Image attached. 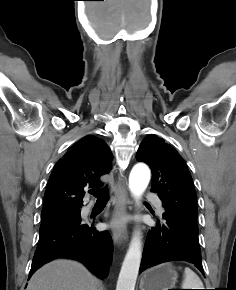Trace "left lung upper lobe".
<instances>
[{"mask_svg": "<svg viewBox=\"0 0 236 290\" xmlns=\"http://www.w3.org/2000/svg\"><path fill=\"white\" fill-rule=\"evenodd\" d=\"M136 159L152 171L151 191L158 193L165 213L198 230L196 192L183 158L163 139L147 136L139 146Z\"/></svg>", "mask_w": 236, "mask_h": 290, "instance_id": "5c2ea615", "label": "left lung upper lobe"}]
</instances>
